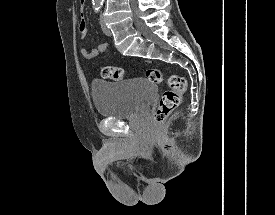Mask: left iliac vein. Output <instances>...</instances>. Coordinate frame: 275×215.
<instances>
[{
  "label": "left iliac vein",
  "mask_w": 275,
  "mask_h": 215,
  "mask_svg": "<svg viewBox=\"0 0 275 215\" xmlns=\"http://www.w3.org/2000/svg\"><path fill=\"white\" fill-rule=\"evenodd\" d=\"M101 28H102L103 32H104L106 35H108V36L111 35V31H110V29L106 26V23H105V19H104V18L101 19Z\"/></svg>",
  "instance_id": "obj_1"
}]
</instances>
